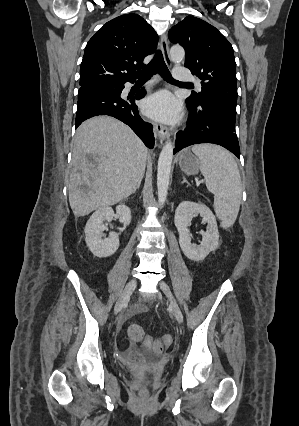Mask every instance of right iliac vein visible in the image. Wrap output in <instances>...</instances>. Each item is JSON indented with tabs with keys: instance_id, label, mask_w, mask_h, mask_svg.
<instances>
[{
	"instance_id": "1",
	"label": "right iliac vein",
	"mask_w": 299,
	"mask_h": 426,
	"mask_svg": "<svg viewBox=\"0 0 299 426\" xmlns=\"http://www.w3.org/2000/svg\"><path fill=\"white\" fill-rule=\"evenodd\" d=\"M135 288H136V280H134V279L130 280L126 284L123 292L121 293L120 297L118 298V300L115 304V308H114L115 314H117L119 311H121L123 306L128 302V300L130 299V296L132 295Z\"/></svg>"
}]
</instances>
